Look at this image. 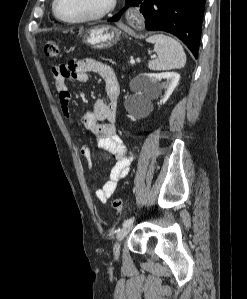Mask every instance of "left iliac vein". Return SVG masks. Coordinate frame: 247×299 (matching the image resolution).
Listing matches in <instances>:
<instances>
[{
    "instance_id": "left-iliac-vein-1",
    "label": "left iliac vein",
    "mask_w": 247,
    "mask_h": 299,
    "mask_svg": "<svg viewBox=\"0 0 247 299\" xmlns=\"http://www.w3.org/2000/svg\"><path fill=\"white\" fill-rule=\"evenodd\" d=\"M133 227V224H129V225H126V226H123L117 233L116 235V243L114 245V255H115V258H118L119 256V253H120V243L121 241L126 237V235L131 231Z\"/></svg>"
}]
</instances>
